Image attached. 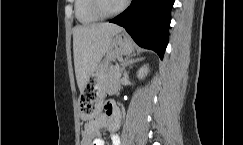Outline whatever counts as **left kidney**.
Returning <instances> with one entry per match:
<instances>
[{
  "label": "left kidney",
  "mask_w": 243,
  "mask_h": 145,
  "mask_svg": "<svg viewBox=\"0 0 243 145\" xmlns=\"http://www.w3.org/2000/svg\"><path fill=\"white\" fill-rule=\"evenodd\" d=\"M148 71H149V69H148L147 65H144L143 67H141L139 69L137 77L139 79H143L147 75Z\"/></svg>",
  "instance_id": "5707ae66"
}]
</instances>
